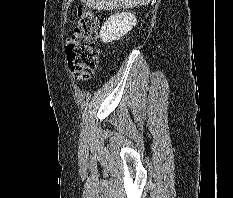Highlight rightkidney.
<instances>
[{
    "instance_id": "right-kidney-1",
    "label": "right kidney",
    "mask_w": 233,
    "mask_h": 198,
    "mask_svg": "<svg viewBox=\"0 0 233 198\" xmlns=\"http://www.w3.org/2000/svg\"><path fill=\"white\" fill-rule=\"evenodd\" d=\"M137 19L131 12H121L111 15L102 25L100 38L103 43L121 39L135 25Z\"/></svg>"
}]
</instances>
